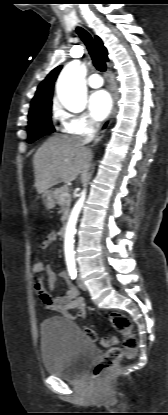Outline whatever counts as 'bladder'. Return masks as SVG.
I'll list each match as a JSON object with an SVG mask.
<instances>
[{
    "label": "bladder",
    "mask_w": 168,
    "mask_h": 415,
    "mask_svg": "<svg viewBox=\"0 0 168 415\" xmlns=\"http://www.w3.org/2000/svg\"><path fill=\"white\" fill-rule=\"evenodd\" d=\"M40 332L43 364L50 375L79 379L98 356L96 346L69 319L47 318L41 323Z\"/></svg>",
    "instance_id": "1"
}]
</instances>
